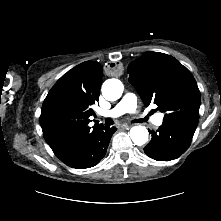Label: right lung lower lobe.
<instances>
[{"mask_svg": "<svg viewBox=\"0 0 221 221\" xmlns=\"http://www.w3.org/2000/svg\"><path fill=\"white\" fill-rule=\"evenodd\" d=\"M114 127H101L95 130L77 149L60 159L66 165L84 169L95 166L105 156Z\"/></svg>", "mask_w": 221, "mask_h": 221, "instance_id": "1", "label": "right lung lower lobe"}]
</instances>
